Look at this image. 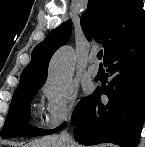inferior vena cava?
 <instances>
[{"label": "inferior vena cava", "instance_id": "1", "mask_svg": "<svg viewBox=\"0 0 145 147\" xmlns=\"http://www.w3.org/2000/svg\"><path fill=\"white\" fill-rule=\"evenodd\" d=\"M61 140L63 141L64 147H73L74 142L71 139V136L67 131H63L61 134Z\"/></svg>", "mask_w": 145, "mask_h": 147}]
</instances>
